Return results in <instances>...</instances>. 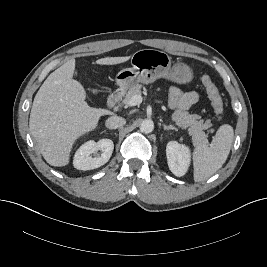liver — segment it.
<instances>
[{
	"instance_id": "liver-1",
	"label": "liver",
	"mask_w": 267,
	"mask_h": 267,
	"mask_svg": "<svg viewBox=\"0 0 267 267\" xmlns=\"http://www.w3.org/2000/svg\"><path fill=\"white\" fill-rule=\"evenodd\" d=\"M129 57H106L99 65H116ZM75 59H71L52 72L38 90L31 108L29 127L40 153L52 166L69 163L75 141L94 130L106 109L90 107L83 85L73 79Z\"/></svg>"
}]
</instances>
